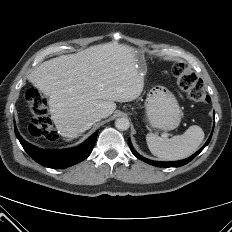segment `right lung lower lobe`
I'll return each instance as SVG.
<instances>
[{
    "label": "right lung lower lobe",
    "instance_id": "obj_1",
    "mask_svg": "<svg viewBox=\"0 0 232 232\" xmlns=\"http://www.w3.org/2000/svg\"><path fill=\"white\" fill-rule=\"evenodd\" d=\"M14 129L18 140L29 156L37 163L54 169L66 168L87 158L92 152L97 138L96 132L78 147L63 150H44L27 143L19 135L16 127Z\"/></svg>",
    "mask_w": 232,
    "mask_h": 232
}]
</instances>
